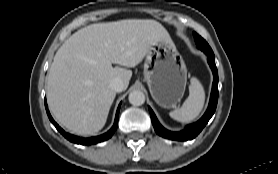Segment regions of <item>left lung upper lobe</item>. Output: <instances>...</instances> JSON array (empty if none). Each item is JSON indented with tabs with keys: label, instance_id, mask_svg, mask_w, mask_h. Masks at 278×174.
I'll list each match as a JSON object with an SVG mask.
<instances>
[{
	"label": "left lung upper lobe",
	"instance_id": "left-lung-upper-lobe-1",
	"mask_svg": "<svg viewBox=\"0 0 278 174\" xmlns=\"http://www.w3.org/2000/svg\"><path fill=\"white\" fill-rule=\"evenodd\" d=\"M195 42L197 47L202 50L203 52H210L213 53L212 49L210 48L209 44L197 33H193Z\"/></svg>",
	"mask_w": 278,
	"mask_h": 174
}]
</instances>
